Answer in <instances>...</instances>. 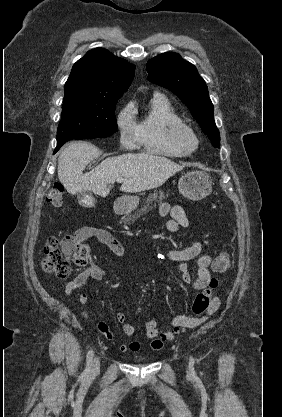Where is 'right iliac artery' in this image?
Segmentation results:
<instances>
[{
  "mask_svg": "<svg viewBox=\"0 0 282 417\" xmlns=\"http://www.w3.org/2000/svg\"><path fill=\"white\" fill-rule=\"evenodd\" d=\"M93 356H94V352H93V350H90L87 353V363H86V368H85V371H84L85 375L89 374V372H90V365H91Z\"/></svg>",
  "mask_w": 282,
  "mask_h": 417,
  "instance_id": "1",
  "label": "right iliac artery"
}]
</instances>
